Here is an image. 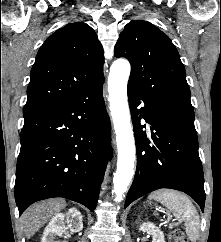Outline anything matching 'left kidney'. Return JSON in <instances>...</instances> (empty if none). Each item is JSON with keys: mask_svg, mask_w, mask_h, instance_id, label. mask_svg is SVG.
Returning a JSON list of instances; mask_svg holds the SVG:
<instances>
[{"mask_svg": "<svg viewBox=\"0 0 221 242\" xmlns=\"http://www.w3.org/2000/svg\"><path fill=\"white\" fill-rule=\"evenodd\" d=\"M139 231L146 232L151 234L153 237L152 242H165L164 234L161 230H159L153 223L147 222L142 223L139 227Z\"/></svg>", "mask_w": 221, "mask_h": 242, "instance_id": "5707ae66", "label": "left kidney"}]
</instances>
